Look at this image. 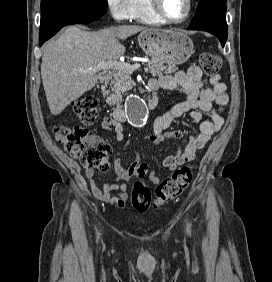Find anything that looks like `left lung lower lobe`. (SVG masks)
Wrapping results in <instances>:
<instances>
[{
    "label": "left lung lower lobe",
    "mask_w": 272,
    "mask_h": 282,
    "mask_svg": "<svg viewBox=\"0 0 272 282\" xmlns=\"http://www.w3.org/2000/svg\"><path fill=\"white\" fill-rule=\"evenodd\" d=\"M187 29L207 31L218 37L224 46L227 40L225 0H201Z\"/></svg>",
    "instance_id": "1"
}]
</instances>
